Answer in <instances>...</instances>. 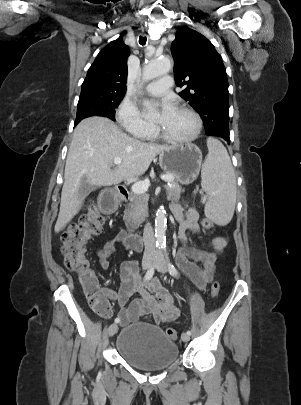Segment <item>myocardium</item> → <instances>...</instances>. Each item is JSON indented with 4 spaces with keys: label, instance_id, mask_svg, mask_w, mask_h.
I'll return each instance as SVG.
<instances>
[{
    "label": "myocardium",
    "instance_id": "1",
    "mask_svg": "<svg viewBox=\"0 0 301 405\" xmlns=\"http://www.w3.org/2000/svg\"><path fill=\"white\" fill-rule=\"evenodd\" d=\"M177 109L184 111L193 117V119L195 121V128H194L193 132L189 136H186V137H175V136L168 134L160 125L155 123L154 124L155 133L162 139H164L168 142H171V143L192 142L199 136V134L202 130V119H201L200 115L191 107L181 105Z\"/></svg>",
    "mask_w": 301,
    "mask_h": 405
}]
</instances>
